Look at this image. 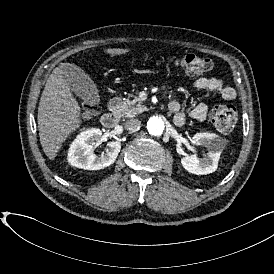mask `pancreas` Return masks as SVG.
<instances>
[{"label":"pancreas","instance_id":"1","mask_svg":"<svg viewBox=\"0 0 274 274\" xmlns=\"http://www.w3.org/2000/svg\"><path fill=\"white\" fill-rule=\"evenodd\" d=\"M130 98L133 99L131 100ZM145 110L146 107L141 104L139 99L130 94L129 98L121 104L120 109L117 111V114L123 117H135Z\"/></svg>","mask_w":274,"mask_h":274}]
</instances>
